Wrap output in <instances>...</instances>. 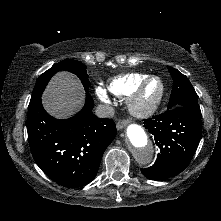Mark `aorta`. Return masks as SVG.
<instances>
[{
	"mask_svg": "<svg viewBox=\"0 0 221 221\" xmlns=\"http://www.w3.org/2000/svg\"><path fill=\"white\" fill-rule=\"evenodd\" d=\"M126 137L137 162L141 165L151 163L154 149L144 129L138 124H130L126 130Z\"/></svg>",
	"mask_w": 221,
	"mask_h": 221,
	"instance_id": "1",
	"label": "aorta"
}]
</instances>
